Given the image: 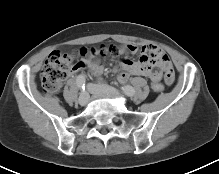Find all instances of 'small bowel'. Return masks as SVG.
Here are the masks:
<instances>
[{
	"instance_id": "c3829d8e",
	"label": "small bowel",
	"mask_w": 219,
	"mask_h": 174,
	"mask_svg": "<svg viewBox=\"0 0 219 174\" xmlns=\"http://www.w3.org/2000/svg\"><path fill=\"white\" fill-rule=\"evenodd\" d=\"M124 50L130 53H136L138 47L135 44H128ZM158 67L160 70H154ZM89 69L94 74H100L104 67L98 60L82 61L75 69L80 71ZM121 71L118 76L120 83L126 82L130 75H140L150 78L152 81H160L162 79V72H164V79L167 84H172L174 81V70L172 64L166 53L157 46L146 45L142 48L140 62H134L129 58H122L117 67Z\"/></svg>"
}]
</instances>
